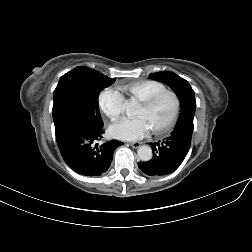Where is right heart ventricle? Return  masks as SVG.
Wrapping results in <instances>:
<instances>
[{
	"instance_id": "obj_1",
	"label": "right heart ventricle",
	"mask_w": 252,
	"mask_h": 252,
	"mask_svg": "<svg viewBox=\"0 0 252 252\" xmlns=\"http://www.w3.org/2000/svg\"><path fill=\"white\" fill-rule=\"evenodd\" d=\"M131 98L141 102L154 93L166 89V86L154 80H141L121 87Z\"/></svg>"
}]
</instances>
